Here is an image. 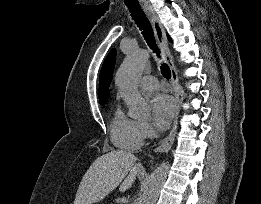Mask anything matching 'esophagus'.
<instances>
[{
    "mask_svg": "<svg viewBox=\"0 0 261 204\" xmlns=\"http://www.w3.org/2000/svg\"><path fill=\"white\" fill-rule=\"evenodd\" d=\"M142 9L145 12V14L147 15L148 19L150 20L153 29H154V33L156 36V39L159 43V46L162 50L163 53V57L165 62L168 64L170 71H171V82H172V86H173V91H174V97L176 100V104H177V110H176V117L174 120V124L172 127V130L170 131L169 135L162 141V143L155 149V153H163V152H168L171 148V146L173 145L174 139H175V135H176V131H177V124H178V116H179V105H180V93L178 91V74H177V70L175 68L169 47H168V43H167V38L163 29V26L159 20V18L157 17V15L155 14V12L153 11V9L148 6V5H142Z\"/></svg>",
    "mask_w": 261,
    "mask_h": 204,
    "instance_id": "34e87169",
    "label": "esophagus"
}]
</instances>
